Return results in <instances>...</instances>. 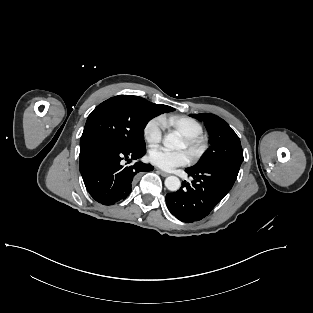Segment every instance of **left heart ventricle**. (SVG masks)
Wrapping results in <instances>:
<instances>
[{
	"mask_svg": "<svg viewBox=\"0 0 313 313\" xmlns=\"http://www.w3.org/2000/svg\"><path fill=\"white\" fill-rule=\"evenodd\" d=\"M182 148L187 149V148H186V144H185V142H183V144H182Z\"/></svg>",
	"mask_w": 313,
	"mask_h": 313,
	"instance_id": "1",
	"label": "left heart ventricle"
}]
</instances>
